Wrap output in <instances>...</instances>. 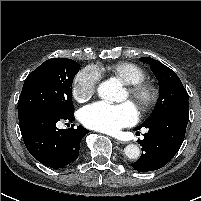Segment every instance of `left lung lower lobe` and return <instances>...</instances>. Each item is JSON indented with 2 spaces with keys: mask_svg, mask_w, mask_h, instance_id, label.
Returning a JSON list of instances; mask_svg holds the SVG:
<instances>
[{
  "mask_svg": "<svg viewBox=\"0 0 201 201\" xmlns=\"http://www.w3.org/2000/svg\"><path fill=\"white\" fill-rule=\"evenodd\" d=\"M189 120V111L174 110L164 113L141 127L148 129L140 140L142 155L132 167L139 172H148L165 166L180 149Z\"/></svg>",
  "mask_w": 201,
  "mask_h": 201,
  "instance_id": "1",
  "label": "left lung lower lobe"
}]
</instances>
